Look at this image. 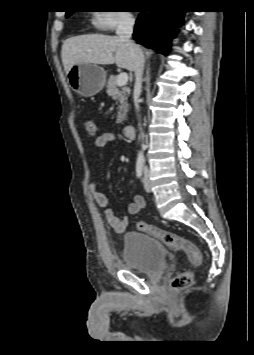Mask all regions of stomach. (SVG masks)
Here are the masks:
<instances>
[{
  "instance_id": "0dacf381",
  "label": "stomach",
  "mask_w": 254,
  "mask_h": 355,
  "mask_svg": "<svg viewBox=\"0 0 254 355\" xmlns=\"http://www.w3.org/2000/svg\"><path fill=\"white\" fill-rule=\"evenodd\" d=\"M70 87L83 97H91L99 93L106 81L103 67L94 63H79L71 67L67 73Z\"/></svg>"
}]
</instances>
